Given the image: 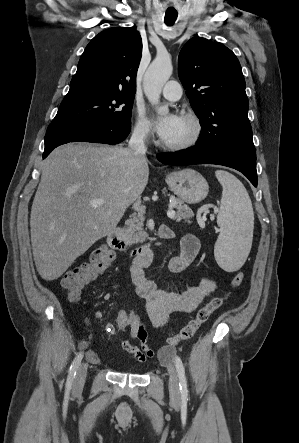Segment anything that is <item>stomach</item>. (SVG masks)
<instances>
[{"mask_svg": "<svg viewBox=\"0 0 299 443\" xmlns=\"http://www.w3.org/2000/svg\"><path fill=\"white\" fill-rule=\"evenodd\" d=\"M166 183L175 195L188 204L202 201L209 191L205 178L191 168L171 172L166 176Z\"/></svg>", "mask_w": 299, "mask_h": 443, "instance_id": "0dacf381", "label": "stomach"}]
</instances>
